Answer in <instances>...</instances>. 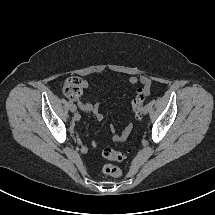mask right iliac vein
<instances>
[{
    "label": "right iliac vein",
    "instance_id": "right-iliac-vein-1",
    "mask_svg": "<svg viewBox=\"0 0 215 215\" xmlns=\"http://www.w3.org/2000/svg\"><path fill=\"white\" fill-rule=\"evenodd\" d=\"M69 109H70V111H71L72 113H75L76 110H77V107H76L74 104H70V105H69Z\"/></svg>",
    "mask_w": 215,
    "mask_h": 215
}]
</instances>
